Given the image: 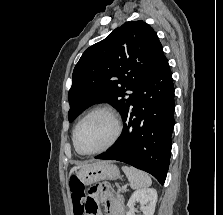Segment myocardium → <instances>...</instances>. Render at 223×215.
<instances>
[{
	"instance_id": "f54148a6",
	"label": "myocardium",
	"mask_w": 223,
	"mask_h": 215,
	"mask_svg": "<svg viewBox=\"0 0 223 215\" xmlns=\"http://www.w3.org/2000/svg\"><path fill=\"white\" fill-rule=\"evenodd\" d=\"M99 113L107 115L112 120V122L114 124V133H113L111 139L109 140V142L102 148H100L96 151H93V152H87V153L81 152L76 145V135H77L78 128L86 119H88L89 117H91L95 114H99ZM121 132H122V125H121V122H120L117 114L115 113V111L107 106H98V107H95L92 110H90L75 125V128L73 130V135H72L73 146H74L76 152L81 156H94V155L100 154V153L112 148L115 145V143L117 142V140L119 139Z\"/></svg>"
}]
</instances>
